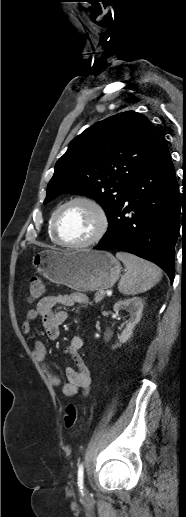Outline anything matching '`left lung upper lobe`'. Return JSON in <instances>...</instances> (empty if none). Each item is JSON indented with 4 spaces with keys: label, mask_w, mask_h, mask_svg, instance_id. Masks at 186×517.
Segmentation results:
<instances>
[{
    "label": "left lung upper lobe",
    "mask_w": 186,
    "mask_h": 517,
    "mask_svg": "<svg viewBox=\"0 0 186 517\" xmlns=\"http://www.w3.org/2000/svg\"><path fill=\"white\" fill-rule=\"evenodd\" d=\"M163 141L159 130L134 111L95 123L74 138L57 161L44 204L60 193L87 195L109 220L124 201L129 182Z\"/></svg>",
    "instance_id": "5c2ea615"
}]
</instances>
